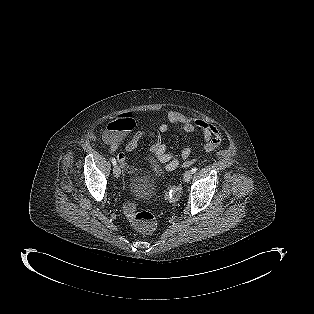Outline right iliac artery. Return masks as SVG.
<instances>
[{
  "mask_svg": "<svg viewBox=\"0 0 314 314\" xmlns=\"http://www.w3.org/2000/svg\"><path fill=\"white\" fill-rule=\"evenodd\" d=\"M111 162H112V164L115 166L116 165V159L115 158H112L111 159Z\"/></svg>",
  "mask_w": 314,
  "mask_h": 314,
  "instance_id": "right-iliac-artery-1",
  "label": "right iliac artery"
}]
</instances>
